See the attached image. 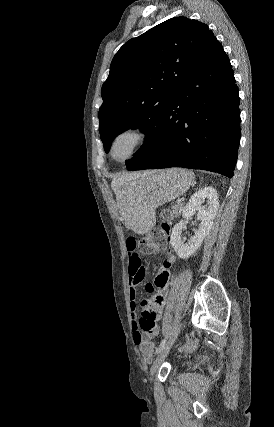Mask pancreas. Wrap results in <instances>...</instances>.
Masks as SVG:
<instances>
[{"instance_id": "obj_1", "label": "pancreas", "mask_w": 274, "mask_h": 427, "mask_svg": "<svg viewBox=\"0 0 274 427\" xmlns=\"http://www.w3.org/2000/svg\"><path fill=\"white\" fill-rule=\"evenodd\" d=\"M171 208L173 214H175V217H177V215H180L182 212L183 204H172Z\"/></svg>"}]
</instances>
